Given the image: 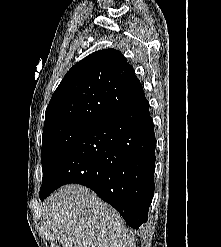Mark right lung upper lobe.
<instances>
[{"label":"right lung upper lobe","instance_id":"obj_1","mask_svg":"<svg viewBox=\"0 0 221 247\" xmlns=\"http://www.w3.org/2000/svg\"><path fill=\"white\" fill-rule=\"evenodd\" d=\"M144 99L142 84L123 54L97 51L67 72L46 109L44 130L67 124L95 126Z\"/></svg>","mask_w":221,"mask_h":247}]
</instances>
